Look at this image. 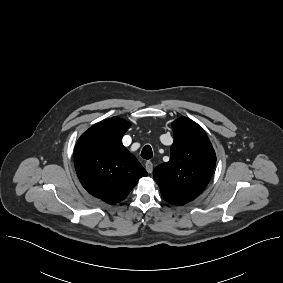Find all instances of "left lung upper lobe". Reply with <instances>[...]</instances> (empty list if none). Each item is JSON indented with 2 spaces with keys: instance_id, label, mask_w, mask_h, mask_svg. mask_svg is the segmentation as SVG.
Wrapping results in <instances>:
<instances>
[{
  "instance_id": "obj_1",
  "label": "left lung upper lobe",
  "mask_w": 283,
  "mask_h": 283,
  "mask_svg": "<svg viewBox=\"0 0 283 283\" xmlns=\"http://www.w3.org/2000/svg\"><path fill=\"white\" fill-rule=\"evenodd\" d=\"M172 127L170 160L157 166L153 176L165 201L183 205L198 197L207 186L216 155L204 130L194 121L182 117Z\"/></svg>"
}]
</instances>
